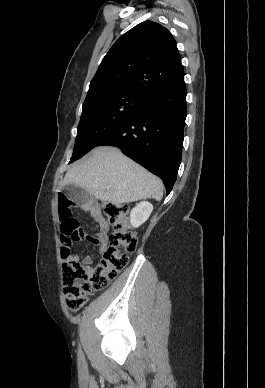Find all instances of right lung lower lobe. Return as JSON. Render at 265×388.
Instances as JSON below:
<instances>
[{"label":"right lung lower lobe","instance_id":"1","mask_svg":"<svg viewBox=\"0 0 265 388\" xmlns=\"http://www.w3.org/2000/svg\"><path fill=\"white\" fill-rule=\"evenodd\" d=\"M184 78L146 94L122 124L97 146L110 145L159 176L168 195L181 163L184 124L187 115Z\"/></svg>","mask_w":265,"mask_h":388}]
</instances>
